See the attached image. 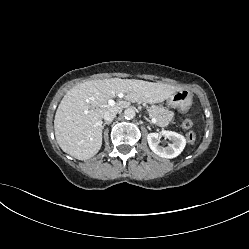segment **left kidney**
Masks as SVG:
<instances>
[{"label":"left kidney","mask_w":249,"mask_h":249,"mask_svg":"<svg viewBox=\"0 0 249 249\" xmlns=\"http://www.w3.org/2000/svg\"><path fill=\"white\" fill-rule=\"evenodd\" d=\"M164 136L172 141L167 147L159 146L160 138ZM147 141L150 149L158 156L162 158H175L185 148L186 139L183 135L172 131L162 130L160 132L149 133L147 135Z\"/></svg>","instance_id":"left-kidney-1"}]
</instances>
